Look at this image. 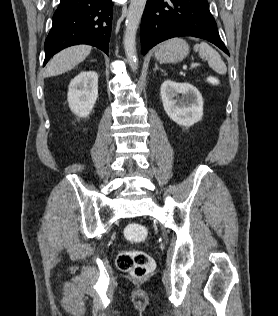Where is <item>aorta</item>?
<instances>
[{
    "mask_svg": "<svg viewBox=\"0 0 278 316\" xmlns=\"http://www.w3.org/2000/svg\"><path fill=\"white\" fill-rule=\"evenodd\" d=\"M146 2L147 0H131L125 21L123 44L128 63L133 71L138 68L135 40Z\"/></svg>",
    "mask_w": 278,
    "mask_h": 316,
    "instance_id": "762f6f07",
    "label": "aorta"
}]
</instances>
